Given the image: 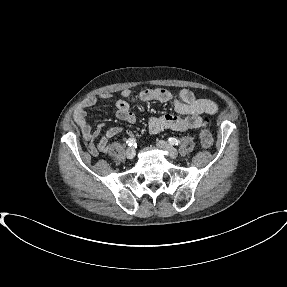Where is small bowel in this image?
Here are the masks:
<instances>
[{"label": "small bowel", "instance_id": "c3829d8e", "mask_svg": "<svg viewBox=\"0 0 287 287\" xmlns=\"http://www.w3.org/2000/svg\"><path fill=\"white\" fill-rule=\"evenodd\" d=\"M124 98H132L134 102L159 101L162 103H172L175 112L182 116L165 114L162 116H152L148 119V128L151 133H159L166 129L185 132L192 129L204 127L206 124L202 114L213 115L217 112V105L208 99H197L189 90H182L179 98L175 99L171 92L165 89H145L138 94L133 95L130 90L122 92ZM112 95L103 93L99 96H93L86 99L74 112V121L78 125L83 135L85 145L89 153L96 156L99 152H105L108 149L109 140L120 133L123 129L112 127L96 142L104 124H98L93 131L87 121V109L94 106L99 99H109ZM117 117L125 122L134 123L136 121L135 113L130 109V104L125 99L116 102ZM128 135L132 134L131 130H126Z\"/></svg>", "mask_w": 287, "mask_h": 287}]
</instances>
